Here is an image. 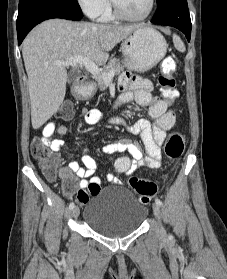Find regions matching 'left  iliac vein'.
I'll return each instance as SVG.
<instances>
[{
  "instance_id": "obj_1",
  "label": "left iliac vein",
  "mask_w": 227,
  "mask_h": 279,
  "mask_svg": "<svg viewBox=\"0 0 227 279\" xmlns=\"http://www.w3.org/2000/svg\"><path fill=\"white\" fill-rule=\"evenodd\" d=\"M153 211H154V214L156 216V218L158 219V222H159V233L161 235H164L165 233V230L164 228L162 227L161 225V210H160V205H158L157 203H154L153 204Z\"/></svg>"
}]
</instances>
